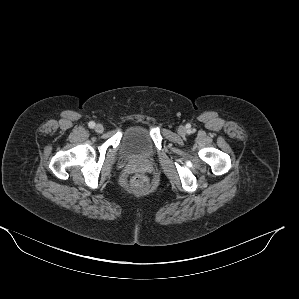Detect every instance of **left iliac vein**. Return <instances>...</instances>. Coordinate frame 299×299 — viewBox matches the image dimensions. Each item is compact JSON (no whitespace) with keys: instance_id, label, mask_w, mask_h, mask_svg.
Masks as SVG:
<instances>
[{"instance_id":"left-iliac-vein-1","label":"left iliac vein","mask_w":299,"mask_h":299,"mask_svg":"<svg viewBox=\"0 0 299 299\" xmlns=\"http://www.w3.org/2000/svg\"><path fill=\"white\" fill-rule=\"evenodd\" d=\"M179 132H180V134H183V133H184V129H183V128H180V129H179Z\"/></svg>"}]
</instances>
